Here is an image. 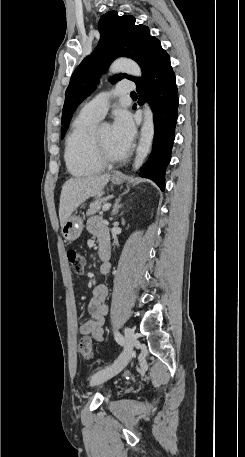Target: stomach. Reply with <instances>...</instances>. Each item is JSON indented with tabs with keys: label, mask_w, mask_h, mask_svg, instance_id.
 Returning <instances> with one entry per match:
<instances>
[{
	"label": "stomach",
	"mask_w": 245,
	"mask_h": 457,
	"mask_svg": "<svg viewBox=\"0 0 245 457\" xmlns=\"http://www.w3.org/2000/svg\"><path fill=\"white\" fill-rule=\"evenodd\" d=\"M112 182L113 184H121L123 178H121V180H112ZM83 226L84 224L81 216H76V214L69 216L64 224H62V235L65 241H69V243H71V241H76L82 233Z\"/></svg>",
	"instance_id": "stomach-1"
}]
</instances>
